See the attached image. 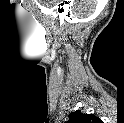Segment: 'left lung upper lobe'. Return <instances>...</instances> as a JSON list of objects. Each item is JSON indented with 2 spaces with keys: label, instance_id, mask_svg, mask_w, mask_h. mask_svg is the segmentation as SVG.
Masks as SVG:
<instances>
[{
  "label": "left lung upper lobe",
  "instance_id": "obj_1",
  "mask_svg": "<svg viewBox=\"0 0 124 123\" xmlns=\"http://www.w3.org/2000/svg\"><path fill=\"white\" fill-rule=\"evenodd\" d=\"M99 118L93 114H84L80 110L71 112L67 123H98Z\"/></svg>",
  "mask_w": 124,
  "mask_h": 123
}]
</instances>
